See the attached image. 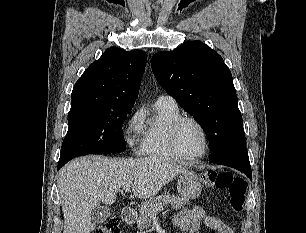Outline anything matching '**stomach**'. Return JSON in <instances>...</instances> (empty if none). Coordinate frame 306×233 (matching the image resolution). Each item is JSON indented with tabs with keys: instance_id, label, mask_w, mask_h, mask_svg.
Here are the masks:
<instances>
[{
	"instance_id": "stomach-1",
	"label": "stomach",
	"mask_w": 306,
	"mask_h": 233,
	"mask_svg": "<svg viewBox=\"0 0 306 233\" xmlns=\"http://www.w3.org/2000/svg\"><path fill=\"white\" fill-rule=\"evenodd\" d=\"M177 190L186 200L195 199L201 194V184L194 172L182 173L177 181Z\"/></svg>"
}]
</instances>
